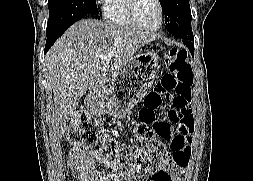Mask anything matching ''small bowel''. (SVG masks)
I'll use <instances>...</instances> for the list:
<instances>
[{"instance_id":"small-bowel-1","label":"small bowel","mask_w":253,"mask_h":181,"mask_svg":"<svg viewBox=\"0 0 253 181\" xmlns=\"http://www.w3.org/2000/svg\"><path fill=\"white\" fill-rule=\"evenodd\" d=\"M172 130H177L178 137L174 142L173 158L161 164L160 167H150L151 178L148 181H184L191 154H192V117L172 125ZM113 133H116L115 131ZM68 165L73 176L78 181H134L135 173L99 172L96 168V159L92 154L84 153L74 147L69 150Z\"/></svg>"}]
</instances>
